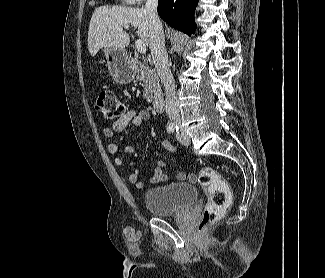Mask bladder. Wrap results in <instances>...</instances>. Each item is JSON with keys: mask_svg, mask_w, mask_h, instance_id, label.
I'll return each mask as SVG.
<instances>
[{"mask_svg": "<svg viewBox=\"0 0 325 278\" xmlns=\"http://www.w3.org/2000/svg\"><path fill=\"white\" fill-rule=\"evenodd\" d=\"M196 199V188L185 182L152 187L143 196L144 205L156 217L181 213L194 204Z\"/></svg>", "mask_w": 325, "mask_h": 278, "instance_id": "1", "label": "bladder"}]
</instances>
